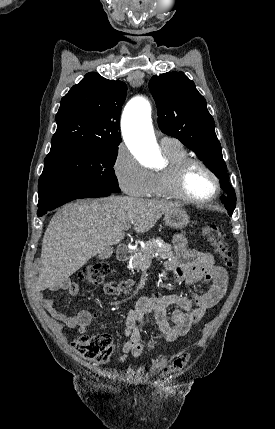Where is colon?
Returning a JSON list of instances; mask_svg holds the SVG:
<instances>
[{"mask_svg":"<svg viewBox=\"0 0 275 429\" xmlns=\"http://www.w3.org/2000/svg\"><path fill=\"white\" fill-rule=\"evenodd\" d=\"M202 233L218 254L222 265L225 268H231L233 265L232 255L221 229L215 224H206L202 229ZM108 273L109 267L107 264L94 263L85 266L80 272V277L92 285H100ZM71 345L81 358L99 365L108 362L113 350V341L108 334L80 336L73 340ZM189 361L190 354L181 352L168 365L166 371L168 374H178L185 369Z\"/></svg>","mask_w":275,"mask_h":429,"instance_id":"5ec220e1","label":"colon"}]
</instances>
